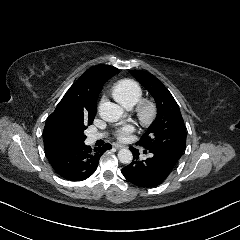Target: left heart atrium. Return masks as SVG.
<instances>
[{"instance_id": "1", "label": "left heart atrium", "mask_w": 240, "mask_h": 240, "mask_svg": "<svg viewBox=\"0 0 240 240\" xmlns=\"http://www.w3.org/2000/svg\"><path fill=\"white\" fill-rule=\"evenodd\" d=\"M134 131V127L132 125H126L120 129H118L115 133V135L117 136V138L120 141H124L127 138V135L132 133Z\"/></svg>"}]
</instances>
